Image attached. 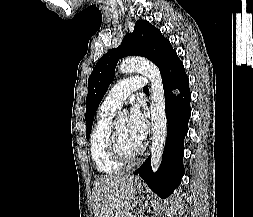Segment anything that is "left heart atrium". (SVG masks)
Returning a JSON list of instances; mask_svg holds the SVG:
<instances>
[{"instance_id": "obj_1", "label": "left heart atrium", "mask_w": 253, "mask_h": 217, "mask_svg": "<svg viewBox=\"0 0 253 217\" xmlns=\"http://www.w3.org/2000/svg\"><path fill=\"white\" fill-rule=\"evenodd\" d=\"M127 126L131 137L142 145L148 134L149 124L146 115L138 105L132 107Z\"/></svg>"}]
</instances>
